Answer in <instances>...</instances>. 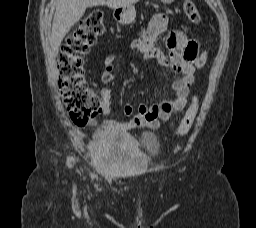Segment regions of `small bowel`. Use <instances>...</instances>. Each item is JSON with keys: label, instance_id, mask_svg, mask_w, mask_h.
Returning a JSON list of instances; mask_svg holds the SVG:
<instances>
[{"label": "small bowel", "instance_id": "c3829d8e", "mask_svg": "<svg viewBox=\"0 0 256 228\" xmlns=\"http://www.w3.org/2000/svg\"><path fill=\"white\" fill-rule=\"evenodd\" d=\"M169 25V19L162 13L155 14L145 32L130 43V49L142 54L145 59H156L162 66L170 67L181 76L173 82L172 89L175 93L173 100H162L159 104H140L138 112H134L131 104H125L123 111L129 119L125 122L106 120L98 126L97 134L125 133L137 127H147L158 129L160 121H167L173 114L182 111L189 95V88L194 82L196 69L195 58L198 54V44L195 40H190L179 30L168 33L166 38V48L168 56L155 46L157 38L164 33ZM116 57L108 55L104 60V71L101 80L107 84L115 78ZM101 111L104 115L111 114V90L103 87L100 90Z\"/></svg>", "mask_w": 256, "mask_h": 228}]
</instances>
